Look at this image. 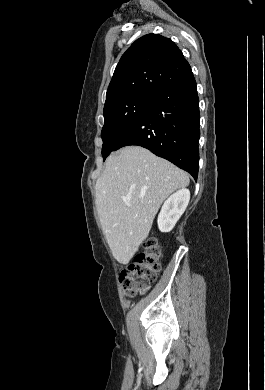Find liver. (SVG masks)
<instances>
[{
	"label": "liver",
	"instance_id": "obj_1",
	"mask_svg": "<svg viewBox=\"0 0 265 390\" xmlns=\"http://www.w3.org/2000/svg\"><path fill=\"white\" fill-rule=\"evenodd\" d=\"M189 183L186 172L140 146H126L108 157L95 186L96 207L119 263L128 264L148 237L163 201Z\"/></svg>",
	"mask_w": 265,
	"mask_h": 390
}]
</instances>
